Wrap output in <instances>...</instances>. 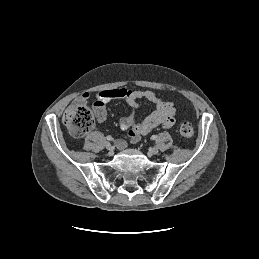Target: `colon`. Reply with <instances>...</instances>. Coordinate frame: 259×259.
Wrapping results in <instances>:
<instances>
[{
  "label": "colon",
  "instance_id": "obj_1",
  "mask_svg": "<svg viewBox=\"0 0 259 259\" xmlns=\"http://www.w3.org/2000/svg\"><path fill=\"white\" fill-rule=\"evenodd\" d=\"M63 122L73 136L82 137L94 127L95 118L85 104H73L64 112ZM179 133L184 139H190L194 135V128L185 122L181 124Z\"/></svg>",
  "mask_w": 259,
  "mask_h": 259
}]
</instances>
